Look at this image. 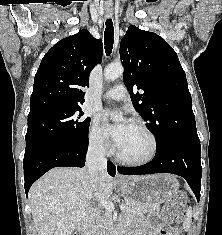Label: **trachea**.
Masks as SVG:
<instances>
[{
	"label": "trachea",
	"instance_id": "obj_1",
	"mask_svg": "<svg viewBox=\"0 0 222 235\" xmlns=\"http://www.w3.org/2000/svg\"><path fill=\"white\" fill-rule=\"evenodd\" d=\"M106 28L104 31V45H105V52L106 55L109 56L113 49V43H114V27L112 19L106 20Z\"/></svg>",
	"mask_w": 222,
	"mask_h": 235
}]
</instances>
